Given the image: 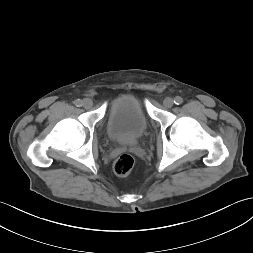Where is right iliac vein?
<instances>
[{
    "label": "right iliac vein",
    "instance_id": "63e3f726",
    "mask_svg": "<svg viewBox=\"0 0 253 253\" xmlns=\"http://www.w3.org/2000/svg\"><path fill=\"white\" fill-rule=\"evenodd\" d=\"M82 104H83V106H84L86 109H89V108L92 107L93 102H92L91 99L85 98V99L83 100Z\"/></svg>",
    "mask_w": 253,
    "mask_h": 253
}]
</instances>
